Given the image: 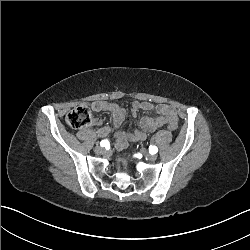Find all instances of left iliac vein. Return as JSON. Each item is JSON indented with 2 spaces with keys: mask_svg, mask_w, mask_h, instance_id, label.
I'll use <instances>...</instances> for the list:
<instances>
[{
  "mask_svg": "<svg viewBox=\"0 0 250 250\" xmlns=\"http://www.w3.org/2000/svg\"><path fill=\"white\" fill-rule=\"evenodd\" d=\"M141 152L149 161H155L157 159V156L155 154H147L146 149L144 147L141 148Z\"/></svg>",
  "mask_w": 250,
  "mask_h": 250,
  "instance_id": "1",
  "label": "left iliac vein"
}]
</instances>
